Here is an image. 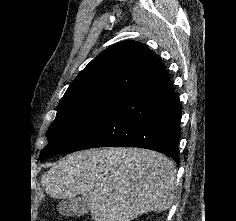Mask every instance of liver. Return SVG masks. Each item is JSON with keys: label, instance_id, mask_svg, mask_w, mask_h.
Masks as SVG:
<instances>
[{"label": "liver", "instance_id": "1", "mask_svg": "<svg viewBox=\"0 0 236 221\" xmlns=\"http://www.w3.org/2000/svg\"><path fill=\"white\" fill-rule=\"evenodd\" d=\"M175 163L142 148H102L73 153L54 163L41 183L55 199L81 195L95 221H131L162 212L175 200Z\"/></svg>", "mask_w": 236, "mask_h": 221}]
</instances>
